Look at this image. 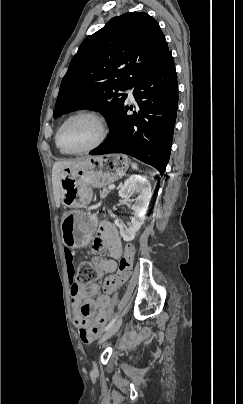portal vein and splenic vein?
<instances>
[{
  "instance_id": "obj_1",
  "label": "portal vein and splenic vein",
  "mask_w": 243,
  "mask_h": 404,
  "mask_svg": "<svg viewBox=\"0 0 243 404\" xmlns=\"http://www.w3.org/2000/svg\"><path fill=\"white\" fill-rule=\"evenodd\" d=\"M115 186L114 184H111V186H108V190H114Z\"/></svg>"
}]
</instances>
